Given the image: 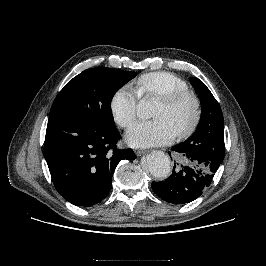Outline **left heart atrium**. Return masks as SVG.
Wrapping results in <instances>:
<instances>
[{
  "label": "left heart atrium",
  "mask_w": 266,
  "mask_h": 266,
  "mask_svg": "<svg viewBox=\"0 0 266 266\" xmlns=\"http://www.w3.org/2000/svg\"><path fill=\"white\" fill-rule=\"evenodd\" d=\"M175 130L164 118L134 123L126 133V141L134 147H151L166 144L174 139Z\"/></svg>",
  "instance_id": "1"
}]
</instances>
